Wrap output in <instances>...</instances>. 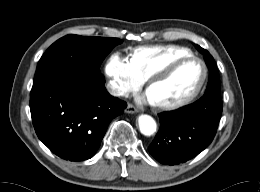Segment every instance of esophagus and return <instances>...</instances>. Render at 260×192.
<instances>
[{"instance_id": "obj_1", "label": "esophagus", "mask_w": 260, "mask_h": 192, "mask_svg": "<svg viewBox=\"0 0 260 192\" xmlns=\"http://www.w3.org/2000/svg\"><path fill=\"white\" fill-rule=\"evenodd\" d=\"M137 111H138L137 107H135L133 104L128 105L127 112L134 113V112H137Z\"/></svg>"}]
</instances>
